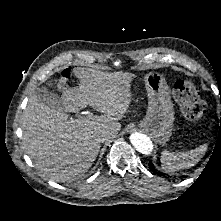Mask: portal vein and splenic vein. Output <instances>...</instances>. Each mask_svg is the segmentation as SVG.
Returning a JSON list of instances; mask_svg holds the SVG:
<instances>
[{
	"label": "portal vein and splenic vein",
	"mask_w": 221,
	"mask_h": 221,
	"mask_svg": "<svg viewBox=\"0 0 221 221\" xmlns=\"http://www.w3.org/2000/svg\"><path fill=\"white\" fill-rule=\"evenodd\" d=\"M88 116H92L93 115V113H91V112H87L86 113ZM71 121H73V119L71 118Z\"/></svg>",
	"instance_id": "1"
}]
</instances>
